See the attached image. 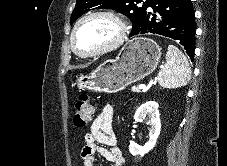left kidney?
Wrapping results in <instances>:
<instances>
[{
  "mask_svg": "<svg viewBox=\"0 0 227 166\" xmlns=\"http://www.w3.org/2000/svg\"><path fill=\"white\" fill-rule=\"evenodd\" d=\"M158 103L155 101H147L143 103L135 112L134 119L137 122L146 121L150 125L149 129V140L145 146H140L134 141H130L129 152L133 156L140 155L143 157L149 151H151L155 145L156 141L160 135L161 131V121L160 113L158 110Z\"/></svg>",
  "mask_w": 227,
  "mask_h": 166,
  "instance_id": "left-kidney-1",
  "label": "left kidney"
}]
</instances>
